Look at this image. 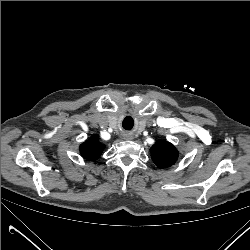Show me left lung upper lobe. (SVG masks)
<instances>
[{
    "label": "left lung upper lobe",
    "mask_w": 250,
    "mask_h": 250,
    "mask_svg": "<svg viewBox=\"0 0 250 250\" xmlns=\"http://www.w3.org/2000/svg\"><path fill=\"white\" fill-rule=\"evenodd\" d=\"M150 150L153 162L161 169L173 165L179 155L178 150L167 141L156 142Z\"/></svg>",
    "instance_id": "obj_1"
}]
</instances>
